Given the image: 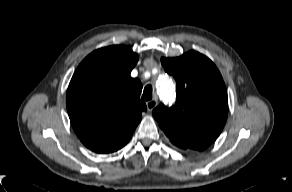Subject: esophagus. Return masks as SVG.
I'll return each mask as SVG.
<instances>
[{
  "label": "esophagus",
  "mask_w": 292,
  "mask_h": 192,
  "mask_svg": "<svg viewBox=\"0 0 292 192\" xmlns=\"http://www.w3.org/2000/svg\"><path fill=\"white\" fill-rule=\"evenodd\" d=\"M147 109L149 112H151L156 106H157V100L153 99L146 103Z\"/></svg>",
  "instance_id": "1"
}]
</instances>
